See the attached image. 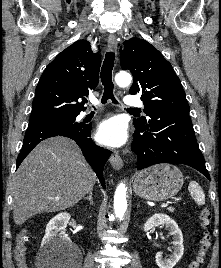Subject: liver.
Masks as SVG:
<instances>
[{
    "instance_id": "obj_1",
    "label": "liver",
    "mask_w": 221,
    "mask_h": 268,
    "mask_svg": "<svg viewBox=\"0 0 221 268\" xmlns=\"http://www.w3.org/2000/svg\"><path fill=\"white\" fill-rule=\"evenodd\" d=\"M96 175L74 141L49 138L24 159L12 182L13 219L66 210L93 190Z\"/></svg>"
}]
</instances>
